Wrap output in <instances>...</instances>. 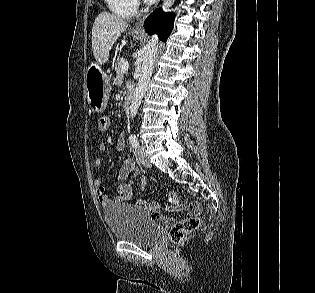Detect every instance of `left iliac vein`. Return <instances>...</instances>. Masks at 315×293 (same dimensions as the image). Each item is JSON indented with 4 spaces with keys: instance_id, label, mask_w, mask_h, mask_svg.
<instances>
[{
    "instance_id": "4c4485c4",
    "label": "left iliac vein",
    "mask_w": 315,
    "mask_h": 293,
    "mask_svg": "<svg viewBox=\"0 0 315 293\" xmlns=\"http://www.w3.org/2000/svg\"><path fill=\"white\" fill-rule=\"evenodd\" d=\"M137 156L143 166H145L146 168H151L152 164L147 157L145 146H139L137 150Z\"/></svg>"
}]
</instances>
